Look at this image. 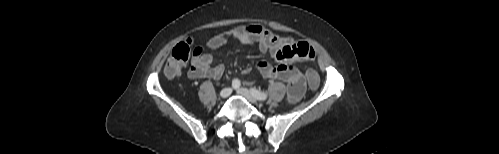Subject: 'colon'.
Segmentation results:
<instances>
[{"label":"colon","mask_w":499,"mask_h":154,"mask_svg":"<svg viewBox=\"0 0 499 154\" xmlns=\"http://www.w3.org/2000/svg\"><path fill=\"white\" fill-rule=\"evenodd\" d=\"M192 41L186 40L177 44L170 57L168 58L165 65V74L166 76L173 78L180 74L182 68L185 66L187 61L189 60L191 54ZM305 79L307 81L308 86L315 90L318 88L320 79L318 73L313 69H308L305 72Z\"/></svg>","instance_id":"5ec220e1"}]
</instances>
